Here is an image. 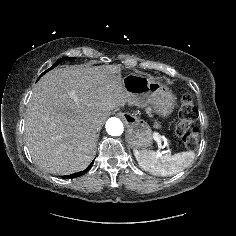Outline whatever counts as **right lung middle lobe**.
I'll list each match as a JSON object with an SVG mask.
<instances>
[{"label":"right lung middle lobe","mask_w":236,"mask_h":236,"mask_svg":"<svg viewBox=\"0 0 236 236\" xmlns=\"http://www.w3.org/2000/svg\"><path fill=\"white\" fill-rule=\"evenodd\" d=\"M66 59H72V57H64V58L58 60L56 63H54V65H53L51 68H49V69L46 70L44 73H42L41 76L44 75L47 71H49V70L53 69L54 67H56L59 63H61L62 61L66 60ZM41 76H40V77H41ZM40 77H39V78H40Z\"/></svg>","instance_id":"dd1d6c3e"}]
</instances>
